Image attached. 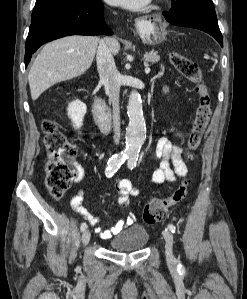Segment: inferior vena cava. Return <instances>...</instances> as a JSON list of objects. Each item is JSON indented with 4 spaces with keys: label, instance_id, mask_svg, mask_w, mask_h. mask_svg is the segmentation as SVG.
I'll list each match as a JSON object with an SVG mask.
<instances>
[{
    "label": "inferior vena cava",
    "instance_id": "obj_1",
    "mask_svg": "<svg viewBox=\"0 0 247 299\" xmlns=\"http://www.w3.org/2000/svg\"><path fill=\"white\" fill-rule=\"evenodd\" d=\"M96 62L100 80L113 107V139L115 144H119L121 134L119 109L120 74L115 66L113 55L107 43L103 40L99 42Z\"/></svg>",
    "mask_w": 247,
    "mask_h": 299
}]
</instances>
